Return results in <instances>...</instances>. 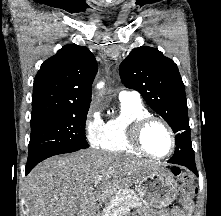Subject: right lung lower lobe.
<instances>
[{"instance_id":"right-lung-lower-lobe-1","label":"right lung lower lobe","mask_w":221,"mask_h":216,"mask_svg":"<svg viewBox=\"0 0 221 216\" xmlns=\"http://www.w3.org/2000/svg\"><path fill=\"white\" fill-rule=\"evenodd\" d=\"M35 165H37V164L26 165V172H25V174H28L34 168Z\"/></svg>"}]
</instances>
